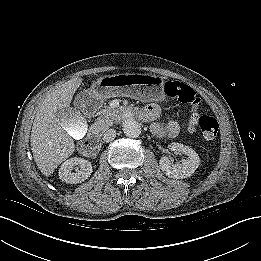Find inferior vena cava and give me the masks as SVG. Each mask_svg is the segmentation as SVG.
Wrapping results in <instances>:
<instances>
[{"label": "inferior vena cava", "instance_id": "602c4592", "mask_svg": "<svg viewBox=\"0 0 261 261\" xmlns=\"http://www.w3.org/2000/svg\"><path fill=\"white\" fill-rule=\"evenodd\" d=\"M116 137V130L114 129H109L107 130L104 135H103V141L104 142H111L115 139Z\"/></svg>", "mask_w": 261, "mask_h": 261}]
</instances>
